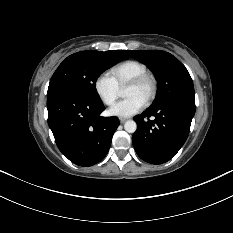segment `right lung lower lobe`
<instances>
[{"instance_id": "obj_1", "label": "right lung lower lobe", "mask_w": 233, "mask_h": 233, "mask_svg": "<svg viewBox=\"0 0 233 233\" xmlns=\"http://www.w3.org/2000/svg\"><path fill=\"white\" fill-rule=\"evenodd\" d=\"M47 109L55 142L71 162L92 166L106 156L119 120L100 116L103 103L57 94L47 96Z\"/></svg>"}]
</instances>
